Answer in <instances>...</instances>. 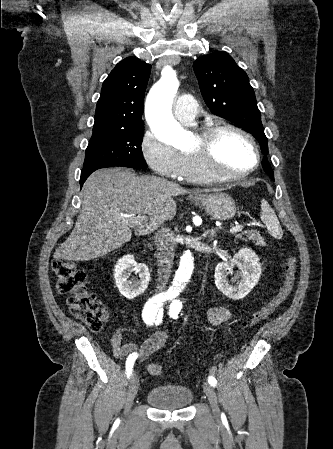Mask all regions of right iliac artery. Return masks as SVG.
<instances>
[{"mask_svg":"<svg viewBox=\"0 0 333 449\" xmlns=\"http://www.w3.org/2000/svg\"><path fill=\"white\" fill-rule=\"evenodd\" d=\"M168 299L165 295H157L149 299L143 309L142 318L147 325H159L163 318V309H160L164 301ZM138 354L132 353L126 360V374L130 377L135 360Z\"/></svg>","mask_w":333,"mask_h":449,"instance_id":"82829eb1","label":"right iliac artery"}]
</instances>
